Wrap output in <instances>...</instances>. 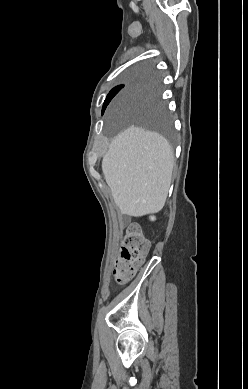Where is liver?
Instances as JSON below:
<instances>
[{"mask_svg": "<svg viewBox=\"0 0 248 389\" xmlns=\"http://www.w3.org/2000/svg\"><path fill=\"white\" fill-rule=\"evenodd\" d=\"M128 92L121 94L124 101ZM174 152L160 134L131 126L110 144L102 171L123 214L140 217L160 211L167 199Z\"/></svg>", "mask_w": 248, "mask_h": 389, "instance_id": "liver-1", "label": "liver"}]
</instances>
